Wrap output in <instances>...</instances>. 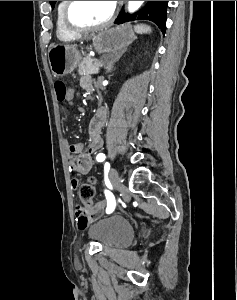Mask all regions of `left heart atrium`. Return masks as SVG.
<instances>
[{
  "label": "left heart atrium",
  "instance_id": "39dd6f15",
  "mask_svg": "<svg viewBox=\"0 0 237 300\" xmlns=\"http://www.w3.org/2000/svg\"><path fill=\"white\" fill-rule=\"evenodd\" d=\"M113 2V4H115L116 3V1H112Z\"/></svg>",
  "mask_w": 237,
  "mask_h": 300
}]
</instances>
